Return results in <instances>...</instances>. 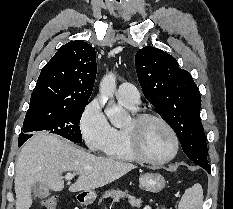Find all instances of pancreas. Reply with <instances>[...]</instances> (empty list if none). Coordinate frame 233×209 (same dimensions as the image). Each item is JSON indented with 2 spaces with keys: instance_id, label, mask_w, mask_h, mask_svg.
<instances>
[{
  "instance_id": "pancreas-1",
  "label": "pancreas",
  "mask_w": 233,
  "mask_h": 209,
  "mask_svg": "<svg viewBox=\"0 0 233 209\" xmlns=\"http://www.w3.org/2000/svg\"><path fill=\"white\" fill-rule=\"evenodd\" d=\"M107 198H113L114 201H119L121 198H128L129 203L133 207H140L141 206V200L136 199L134 196H131L128 194V191H121V190H109L106 191L102 197L99 199L98 204L102 202V200L107 199Z\"/></svg>"
}]
</instances>
